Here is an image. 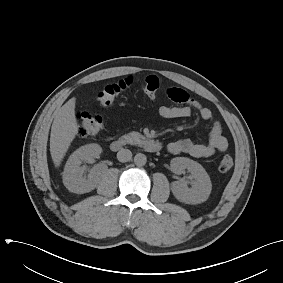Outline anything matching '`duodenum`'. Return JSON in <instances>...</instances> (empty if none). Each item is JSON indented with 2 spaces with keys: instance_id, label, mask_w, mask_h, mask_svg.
<instances>
[{
  "instance_id": "1",
  "label": "duodenum",
  "mask_w": 283,
  "mask_h": 283,
  "mask_svg": "<svg viewBox=\"0 0 283 283\" xmlns=\"http://www.w3.org/2000/svg\"><path fill=\"white\" fill-rule=\"evenodd\" d=\"M141 143H142L143 148L148 152L155 153V152H159L162 149L161 143L153 139H143ZM123 146L124 144L121 140H114L110 144V149L113 152H117L121 150Z\"/></svg>"
}]
</instances>
